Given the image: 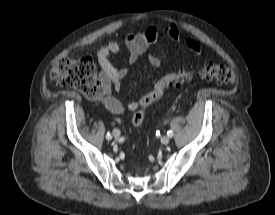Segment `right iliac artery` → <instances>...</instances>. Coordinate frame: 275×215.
Returning a JSON list of instances; mask_svg holds the SVG:
<instances>
[{"label": "right iliac artery", "mask_w": 275, "mask_h": 215, "mask_svg": "<svg viewBox=\"0 0 275 215\" xmlns=\"http://www.w3.org/2000/svg\"><path fill=\"white\" fill-rule=\"evenodd\" d=\"M106 138H107L108 140H110V139H112V135H111L110 133H107Z\"/></svg>", "instance_id": "obj_1"}]
</instances>
